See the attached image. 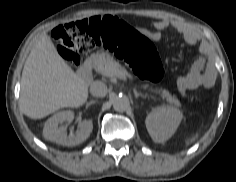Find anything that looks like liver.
<instances>
[{
  "label": "liver",
  "instance_id": "liver-1",
  "mask_svg": "<svg viewBox=\"0 0 236 182\" xmlns=\"http://www.w3.org/2000/svg\"><path fill=\"white\" fill-rule=\"evenodd\" d=\"M88 98V84L59 55L51 38L42 34L31 50L21 78L20 108L31 119L61 108H78Z\"/></svg>",
  "mask_w": 236,
  "mask_h": 182
}]
</instances>
